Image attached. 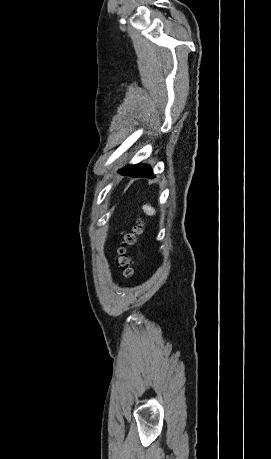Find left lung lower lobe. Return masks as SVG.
<instances>
[{
    "mask_svg": "<svg viewBox=\"0 0 271 459\" xmlns=\"http://www.w3.org/2000/svg\"><path fill=\"white\" fill-rule=\"evenodd\" d=\"M122 175H127L130 177H147L154 178V174L148 165L138 164L135 166L127 165L119 171Z\"/></svg>",
    "mask_w": 271,
    "mask_h": 459,
    "instance_id": "1",
    "label": "left lung lower lobe"
}]
</instances>
